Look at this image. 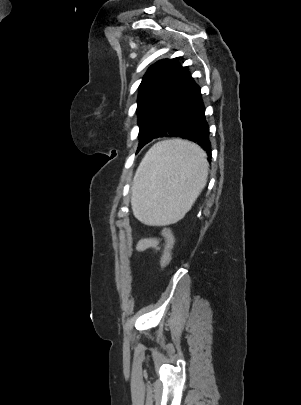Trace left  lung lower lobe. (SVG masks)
<instances>
[{
	"label": "left lung lower lobe",
	"instance_id": "0a47b994",
	"mask_svg": "<svg viewBox=\"0 0 301 405\" xmlns=\"http://www.w3.org/2000/svg\"><path fill=\"white\" fill-rule=\"evenodd\" d=\"M180 137L194 141L211 157L209 126L205 119V107L200 87L193 78L181 96L173 105L160 127L153 134L140 139L138 151L154 138Z\"/></svg>",
	"mask_w": 301,
	"mask_h": 405
}]
</instances>
